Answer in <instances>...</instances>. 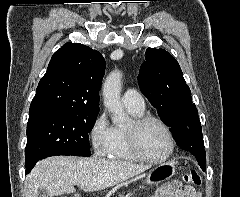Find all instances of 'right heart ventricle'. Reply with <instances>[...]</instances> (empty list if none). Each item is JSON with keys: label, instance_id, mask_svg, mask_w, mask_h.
I'll return each instance as SVG.
<instances>
[{"label": "right heart ventricle", "instance_id": "e07e8e85", "mask_svg": "<svg viewBox=\"0 0 240 197\" xmlns=\"http://www.w3.org/2000/svg\"><path fill=\"white\" fill-rule=\"evenodd\" d=\"M127 109L135 118L144 114V110H135L128 107ZM108 158L123 162H137L139 160L129 148L126 128L119 126L113 127V142Z\"/></svg>", "mask_w": 240, "mask_h": 197}]
</instances>
